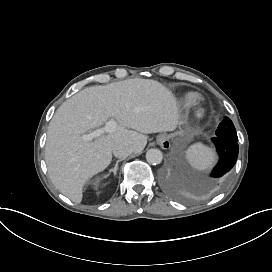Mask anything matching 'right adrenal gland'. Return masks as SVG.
Masks as SVG:
<instances>
[{
	"label": "right adrenal gland",
	"mask_w": 272,
	"mask_h": 272,
	"mask_svg": "<svg viewBox=\"0 0 272 272\" xmlns=\"http://www.w3.org/2000/svg\"><path fill=\"white\" fill-rule=\"evenodd\" d=\"M119 161L120 160L117 161V164H116L115 168L109 171V174L113 173V175L116 176V171H117V167H118V162Z\"/></svg>",
	"instance_id": "2a0ac1e0"
}]
</instances>
